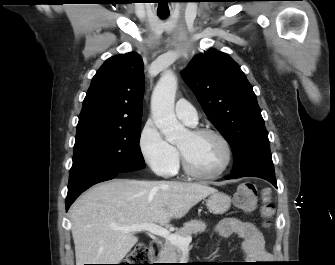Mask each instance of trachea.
Wrapping results in <instances>:
<instances>
[{
  "label": "trachea",
  "instance_id": "3493384b",
  "mask_svg": "<svg viewBox=\"0 0 335 265\" xmlns=\"http://www.w3.org/2000/svg\"><path fill=\"white\" fill-rule=\"evenodd\" d=\"M158 16L161 18V19H165L169 16V14H158Z\"/></svg>",
  "mask_w": 335,
  "mask_h": 265
}]
</instances>
